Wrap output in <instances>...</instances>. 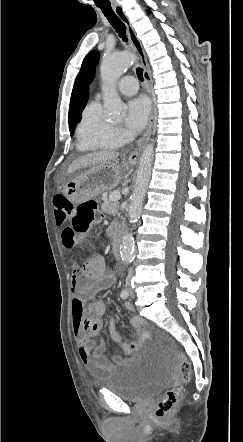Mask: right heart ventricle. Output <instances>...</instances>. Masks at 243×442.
Instances as JSON below:
<instances>
[{"label":"right heart ventricle","mask_w":243,"mask_h":442,"mask_svg":"<svg viewBox=\"0 0 243 442\" xmlns=\"http://www.w3.org/2000/svg\"><path fill=\"white\" fill-rule=\"evenodd\" d=\"M120 145L112 125L103 117L99 101L86 105L77 128V148L81 152L113 149Z\"/></svg>","instance_id":"obj_1"}]
</instances>
